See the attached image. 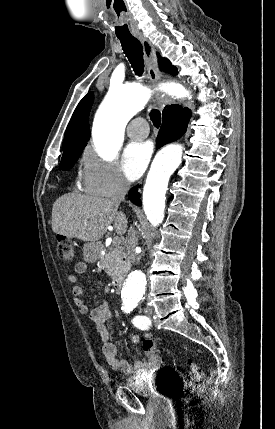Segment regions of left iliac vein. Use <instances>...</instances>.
<instances>
[{"label": "left iliac vein", "mask_w": 275, "mask_h": 429, "mask_svg": "<svg viewBox=\"0 0 275 429\" xmlns=\"http://www.w3.org/2000/svg\"><path fill=\"white\" fill-rule=\"evenodd\" d=\"M144 312H145V314H146V316L147 317H151L152 316V314H153V309L151 308V307H146L145 309H144Z\"/></svg>", "instance_id": "4c4485c4"}]
</instances>
